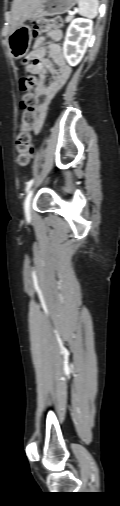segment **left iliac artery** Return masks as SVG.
Here are the masks:
<instances>
[{"instance_id": "1", "label": "left iliac artery", "mask_w": 120, "mask_h": 506, "mask_svg": "<svg viewBox=\"0 0 120 506\" xmlns=\"http://www.w3.org/2000/svg\"><path fill=\"white\" fill-rule=\"evenodd\" d=\"M33 184V179L29 180L26 184V188H25V191L28 192L30 187L32 186Z\"/></svg>"}]
</instances>
